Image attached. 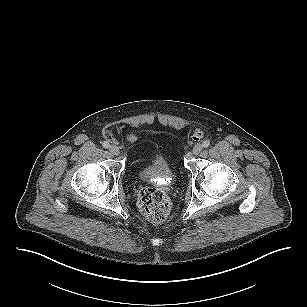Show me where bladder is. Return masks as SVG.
Masks as SVG:
<instances>
[{"instance_id":"31cf9c89","label":"bladder","mask_w":307,"mask_h":307,"mask_svg":"<svg viewBox=\"0 0 307 307\" xmlns=\"http://www.w3.org/2000/svg\"><path fill=\"white\" fill-rule=\"evenodd\" d=\"M138 175L144 180H157L171 178L173 172L162 155H155L148 163L140 167Z\"/></svg>"}]
</instances>
